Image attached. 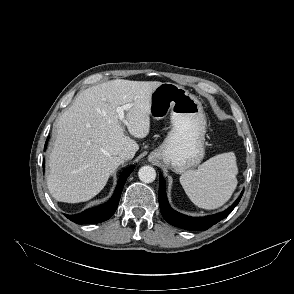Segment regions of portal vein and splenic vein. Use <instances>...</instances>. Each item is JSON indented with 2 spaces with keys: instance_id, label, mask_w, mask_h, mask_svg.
<instances>
[{
  "instance_id": "obj_1",
  "label": "portal vein and splenic vein",
  "mask_w": 294,
  "mask_h": 294,
  "mask_svg": "<svg viewBox=\"0 0 294 294\" xmlns=\"http://www.w3.org/2000/svg\"><path fill=\"white\" fill-rule=\"evenodd\" d=\"M132 107V104H126L120 107H117V113H118V117L119 120L122 121L124 124H127V121L124 118V111L130 109Z\"/></svg>"
}]
</instances>
